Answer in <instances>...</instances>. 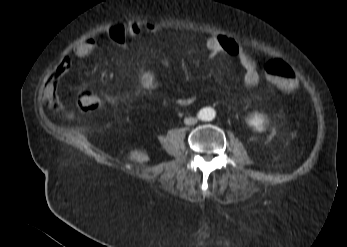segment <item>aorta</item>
Returning <instances> with one entry per match:
<instances>
[{
    "label": "aorta",
    "instance_id": "aorta-1",
    "mask_svg": "<svg viewBox=\"0 0 347 247\" xmlns=\"http://www.w3.org/2000/svg\"><path fill=\"white\" fill-rule=\"evenodd\" d=\"M215 117V112L211 108H204L199 112V118L203 121H211Z\"/></svg>",
    "mask_w": 347,
    "mask_h": 247
}]
</instances>
